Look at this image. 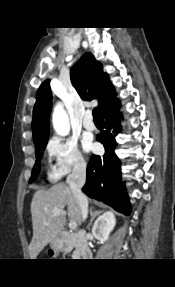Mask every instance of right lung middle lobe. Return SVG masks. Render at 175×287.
Segmentation results:
<instances>
[{"instance_id":"right-lung-middle-lobe-1","label":"right lung middle lobe","mask_w":175,"mask_h":287,"mask_svg":"<svg viewBox=\"0 0 175 287\" xmlns=\"http://www.w3.org/2000/svg\"><path fill=\"white\" fill-rule=\"evenodd\" d=\"M46 144H47V139L43 140V141H40L38 143H35V149H36V162H35V165H34V168L32 170V176L30 178V181H34L38 174H39V171H40V159L43 155V151L46 147Z\"/></svg>"}]
</instances>
